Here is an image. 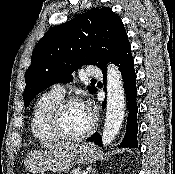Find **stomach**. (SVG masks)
I'll return each instance as SVG.
<instances>
[{"instance_id":"1","label":"stomach","mask_w":175,"mask_h":174,"mask_svg":"<svg viewBox=\"0 0 175 174\" xmlns=\"http://www.w3.org/2000/svg\"><path fill=\"white\" fill-rule=\"evenodd\" d=\"M96 158L95 150L88 144L73 150L49 149L31 152L25 159V167L33 174L45 171L67 172L75 164H90Z\"/></svg>"}]
</instances>
